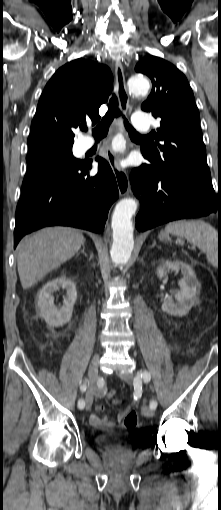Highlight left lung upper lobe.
Wrapping results in <instances>:
<instances>
[{
  "label": "left lung upper lobe",
  "instance_id": "left-lung-upper-lobe-1",
  "mask_svg": "<svg viewBox=\"0 0 221 510\" xmlns=\"http://www.w3.org/2000/svg\"><path fill=\"white\" fill-rule=\"evenodd\" d=\"M135 70L149 76L153 85L142 110L161 118L157 133L141 147L153 169L166 176L211 180L199 111L186 77L171 63L152 55L141 59Z\"/></svg>",
  "mask_w": 221,
  "mask_h": 510
}]
</instances>
